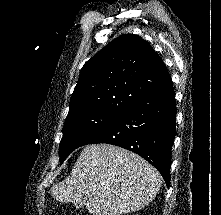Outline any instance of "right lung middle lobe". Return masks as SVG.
Instances as JSON below:
<instances>
[{
    "mask_svg": "<svg viewBox=\"0 0 221 215\" xmlns=\"http://www.w3.org/2000/svg\"><path fill=\"white\" fill-rule=\"evenodd\" d=\"M121 114L105 110H84L68 114L60 143V163L76 148L113 123Z\"/></svg>",
    "mask_w": 221,
    "mask_h": 215,
    "instance_id": "1",
    "label": "right lung middle lobe"
}]
</instances>
